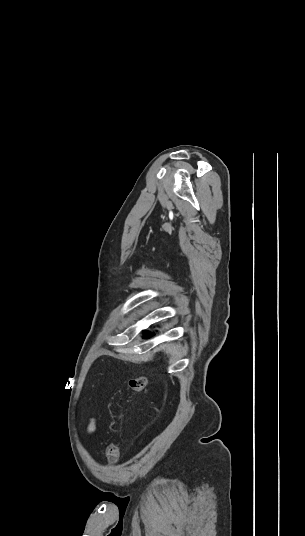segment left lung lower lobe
Masks as SVG:
<instances>
[{
    "instance_id": "left-lung-lower-lobe-1",
    "label": "left lung lower lobe",
    "mask_w": 305,
    "mask_h": 536,
    "mask_svg": "<svg viewBox=\"0 0 305 536\" xmlns=\"http://www.w3.org/2000/svg\"><path fill=\"white\" fill-rule=\"evenodd\" d=\"M143 333L146 334V335H148V336H152V335H153L151 332H148V331H144ZM144 338H146V337H144Z\"/></svg>"
}]
</instances>
